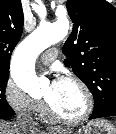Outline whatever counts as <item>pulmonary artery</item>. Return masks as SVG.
<instances>
[{
	"mask_svg": "<svg viewBox=\"0 0 116 134\" xmlns=\"http://www.w3.org/2000/svg\"><path fill=\"white\" fill-rule=\"evenodd\" d=\"M57 56V49L51 48L42 55V61L44 64H50L55 60Z\"/></svg>",
	"mask_w": 116,
	"mask_h": 134,
	"instance_id": "e3ab8cb5",
	"label": "pulmonary artery"
}]
</instances>
